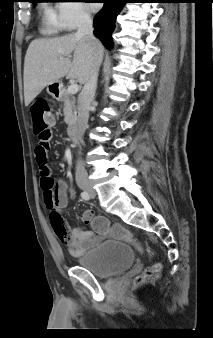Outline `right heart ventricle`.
Here are the masks:
<instances>
[{
    "label": "right heart ventricle",
    "mask_w": 213,
    "mask_h": 338,
    "mask_svg": "<svg viewBox=\"0 0 213 338\" xmlns=\"http://www.w3.org/2000/svg\"><path fill=\"white\" fill-rule=\"evenodd\" d=\"M46 24H47V28L48 30L51 32V33H57L59 31H61L63 28L57 24L53 18H52V13H49L47 15V18H46Z\"/></svg>",
    "instance_id": "1"
}]
</instances>
